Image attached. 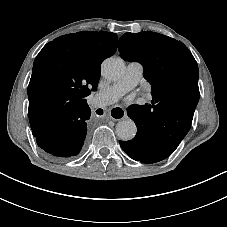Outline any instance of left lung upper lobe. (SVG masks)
<instances>
[{"instance_id":"5c2ea615","label":"left lung upper lobe","mask_w":227,"mask_h":227,"mask_svg":"<svg viewBox=\"0 0 227 227\" xmlns=\"http://www.w3.org/2000/svg\"><path fill=\"white\" fill-rule=\"evenodd\" d=\"M119 52L124 60L143 65L153 100L198 103V65L181 41L155 32L125 33Z\"/></svg>"}]
</instances>
